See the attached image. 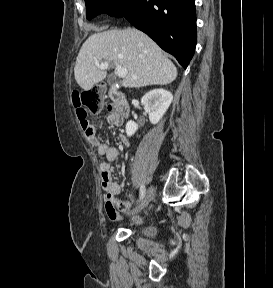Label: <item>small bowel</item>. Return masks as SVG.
I'll use <instances>...</instances> for the list:
<instances>
[{"label": "small bowel", "instance_id": "obj_1", "mask_svg": "<svg viewBox=\"0 0 273 288\" xmlns=\"http://www.w3.org/2000/svg\"><path fill=\"white\" fill-rule=\"evenodd\" d=\"M104 122L112 126H120L123 120H120L115 113L113 107H109L107 114L104 117ZM96 126L90 125L86 130L84 129L87 139L97 148V152L102 158L100 164V181L103 191L105 192V211L109 219L118 221L120 219L119 212H126L131 207L132 201H122L117 197L121 192V186L116 182L111 173L110 163L119 157L120 151L118 148L109 146L98 140ZM123 142L126 141L124 137ZM138 222V218L133 219Z\"/></svg>", "mask_w": 273, "mask_h": 288}]
</instances>
